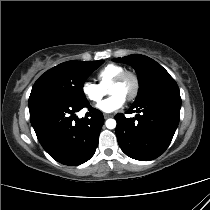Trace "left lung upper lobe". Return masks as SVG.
Returning <instances> with one entry per match:
<instances>
[{"label": "left lung upper lobe", "instance_id": "obj_1", "mask_svg": "<svg viewBox=\"0 0 210 210\" xmlns=\"http://www.w3.org/2000/svg\"><path fill=\"white\" fill-rule=\"evenodd\" d=\"M113 60L129 64L137 72L140 87L133 104H137L150 96L161 93H179V88L175 80L153 59L140 54H132Z\"/></svg>", "mask_w": 210, "mask_h": 210}]
</instances>
